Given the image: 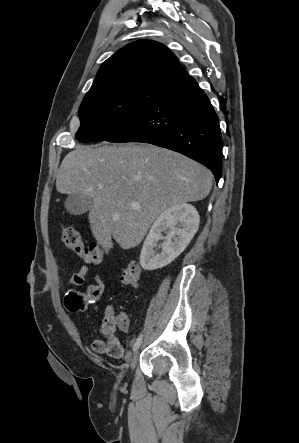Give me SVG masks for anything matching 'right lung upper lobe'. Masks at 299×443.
Instances as JSON below:
<instances>
[{
	"mask_svg": "<svg viewBox=\"0 0 299 443\" xmlns=\"http://www.w3.org/2000/svg\"><path fill=\"white\" fill-rule=\"evenodd\" d=\"M188 77L167 47L156 41L139 40L121 48L101 65L84 98L118 88L166 90Z\"/></svg>",
	"mask_w": 299,
	"mask_h": 443,
	"instance_id": "obj_1",
	"label": "right lung upper lobe"
}]
</instances>
